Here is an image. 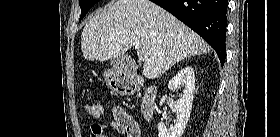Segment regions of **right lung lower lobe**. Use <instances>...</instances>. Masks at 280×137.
I'll use <instances>...</instances> for the list:
<instances>
[{
    "mask_svg": "<svg viewBox=\"0 0 280 137\" xmlns=\"http://www.w3.org/2000/svg\"><path fill=\"white\" fill-rule=\"evenodd\" d=\"M199 34L225 62L227 0H151Z\"/></svg>",
    "mask_w": 280,
    "mask_h": 137,
    "instance_id": "98d812e1",
    "label": "right lung lower lobe"
}]
</instances>
